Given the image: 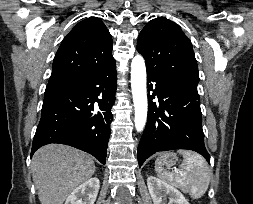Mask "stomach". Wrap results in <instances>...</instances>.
I'll return each mask as SVG.
<instances>
[{
    "label": "stomach",
    "mask_w": 253,
    "mask_h": 204,
    "mask_svg": "<svg viewBox=\"0 0 253 204\" xmlns=\"http://www.w3.org/2000/svg\"><path fill=\"white\" fill-rule=\"evenodd\" d=\"M166 156L167 157L164 159L163 165L171 166V165H174L177 162V156H176L175 153H166Z\"/></svg>",
    "instance_id": "obj_1"
}]
</instances>
